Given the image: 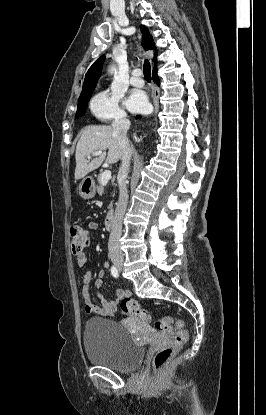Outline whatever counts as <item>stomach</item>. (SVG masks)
Here are the masks:
<instances>
[{
  "label": "stomach",
  "instance_id": "0dacf381",
  "mask_svg": "<svg viewBox=\"0 0 266 415\" xmlns=\"http://www.w3.org/2000/svg\"><path fill=\"white\" fill-rule=\"evenodd\" d=\"M79 195L82 199L88 200L95 196V182L92 177H86L79 185Z\"/></svg>",
  "mask_w": 266,
  "mask_h": 415
}]
</instances>
